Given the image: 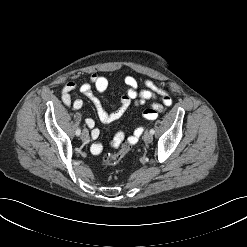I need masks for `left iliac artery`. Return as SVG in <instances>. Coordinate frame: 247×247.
<instances>
[{
	"mask_svg": "<svg viewBox=\"0 0 247 247\" xmlns=\"http://www.w3.org/2000/svg\"><path fill=\"white\" fill-rule=\"evenodd\" d=\"M150 133L153 135L155 133L154 129H151Z\"/></svg>",
	"mask_w": 247,
	"mask_h": 247,
	"instance_id": "1",
	"label": "left iliac artery"
}]
</instances>
